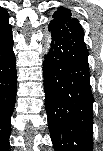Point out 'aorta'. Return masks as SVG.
Segmentation results:
<instances>
[{"instance_id":"762f6f07","label":"aorta","mask_w":103,"mask_h":151,"mask_svg":"<svg viewBox=\"0 0 103 151\" xmlns=\"http://www.w3.org/2000/svg\"><path fill=\"white\" fill-rule=\"evenodd\" d=\"M50 43H51V37H49L48 41H47V48H50Z\"/></svg>"}]
</instances>
